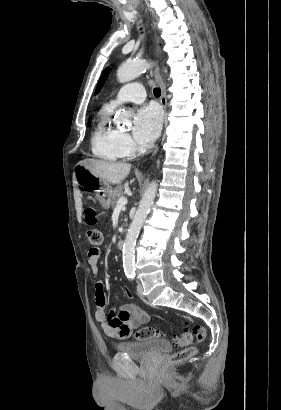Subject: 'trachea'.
<instances>
[{"label":"trachea","mask_w":281,"mask_h":410,"mask_svg":"<svg viewBox=\"0 0 281 410\" xmlns=\"http://www.w3.org/2000/svg\"><path fill=\"white\" fill-rule=\"evenodd\" d=\"M153 92H154V95L156 97H160V95H161V89L160 88H154Z\"/></svg>","instance_id":"obj_1"}]
</instances>
